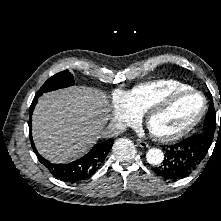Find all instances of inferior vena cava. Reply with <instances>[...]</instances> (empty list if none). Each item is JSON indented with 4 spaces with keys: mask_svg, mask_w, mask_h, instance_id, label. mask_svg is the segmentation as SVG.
I'll return each instance as SVG.
<instances>
[{
    "mask_svg": "<svg viewBox=\"0 0 221 221\" xmlns=\"http://www.w3.org/2000/svg\"><path fill=\"white\" fill-rule=\"evenodd\" d=\"M123 128L116 125V124H110L106 127V129L102 132L103 137L105 138H112L120 135L123 133Z\"/></svg>",
    "mask_w": 221,
    "mask_h": 221,
    "instance_id": "inferior-vena-cava-1",
    "label": "inferior vena cava"
}]
</instances>
